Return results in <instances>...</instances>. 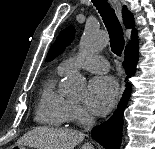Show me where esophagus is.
Listing matches in <instances>:
<instances>
[{"mask_svg": "<svg viewBox=\"0 0 155 149\" xmlns=\"http://www.w3.org/2000/svg\"><path fill=\"white\" fill-rule=\"evenodd\" d=\"M109 1L113 5V7L115 8V10L118 14V17L121 20L122 19V17H121L122 5H121L120 1L119 0H109ZM124 88H125V82H124V77H122L121 87H120V91H119L120 96L122 95Z\"/></svg>", "mask_w": 155, "mask_h": 149, "instance_id": "esophagus-1", "label": "esophagus"}]
</instances>
